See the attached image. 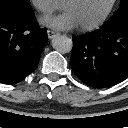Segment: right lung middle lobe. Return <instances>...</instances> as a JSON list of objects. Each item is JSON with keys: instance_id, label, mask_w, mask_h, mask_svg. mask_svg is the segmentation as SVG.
Here are the masks:
<instances>
[{"instance_id": "1", "label": "right lung middle lobe", "mask_w": 128, "mask_h": 128, "mask_svg": "<svg viewBox=\"0 0 128 128\" xmlns=\"http://www.w3.org/2000/svg\"><path fill=\"white\" fill-rule=\"evenodd\" d=\"M32 11L29 0H0V12Z\"/></svg>"}]
</instances>
